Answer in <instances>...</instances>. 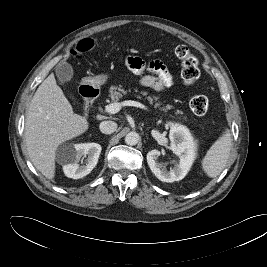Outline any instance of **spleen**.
<instances>
[{"instance_id": "obj_1", "label": "spleen", "mask_w": 267, "mask_h": 267, "mask_svg": "<svg viewBox=\"0 0 267 267\" xmlns=\"http://www.w3.org/2000/svg\"><path fill=\"white\" fill-rule=\"evenodd\" d=\"M231 150V135L228 129L207 151L202 159V168L207 176L214 178L225 168Z\"/></svg>"}]
</instances>
